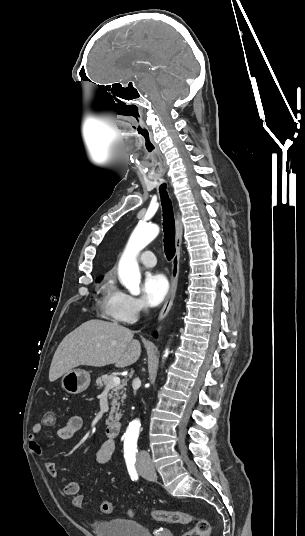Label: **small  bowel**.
<instances>
[{"mask_svg":"<svg viewBox=\"0 0 305 536\" xmlns=\"http://www.w3.org/2000/svg\"><path fill=\"white\" fill-rule=\"evenodd\" d=\"M83 427V419L79 415L71 416L66 424L56 430V436L60 440L71 439L77 432ZM43 427H32V433L29 436V447L37 455L42 454V447L38 441V435L41 433ZM115 449V443L113 440H105L98 451L96 452L95 459L100 465L106 464L110 461ZM45 471L49 476L55 478L57 476V467L54 462L50 460L44 461ZM80 485L77 482H70L63 487V494L66 496H75L79 494Z\"/></svg>","mask_w":305,"mask_h":536,"instance_id":"1","label":"small bowel"}]
</instances>
